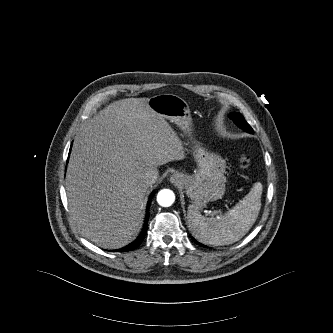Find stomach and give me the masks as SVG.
Wrapping results in <instances>:
<instances>
[{
  "label": "stomach",
  "instance_id": "0dacf381",
  "mask_svg": "<svg viewBox=\"0 0 333 333\" xmlns=\"http://www.w3.org/2000/svg\"><path fill=\"white\" fill-rule=\"evenodd\" d=\"M148 106L164 119L178 125L185 133L192 131L188 104L174 94H159L148 99ZM194 157L198 168L192 176H185L184 186L195 208L220 199L225 192V160L218 154L195 144Z\"/></svg>",
  "mask_w": 333,
  "mask_h": 333
}]
</instances>
